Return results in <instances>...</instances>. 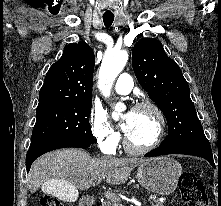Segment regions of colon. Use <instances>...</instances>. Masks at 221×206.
<instances>
[{
	"instance_id": "5ec220e1",
	"label": "colon",
	"mask_w": 221,
	"mask_h": 206,
	"mask_svg": "<svg viewBox=\"0 0 221 206\" xmlns=\"http://www.w3.org/2000/svg\"><path fill=\"white\" fill-rule=\"evenodd\" d=\"M180 188L185 206H209V198L202 181L191 172L180 176ZM41 206H64L58 199L46 195L41 198Z\"/></svg>"
}]
</instances>
